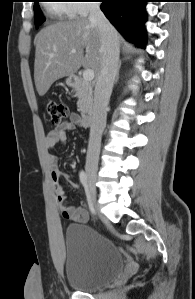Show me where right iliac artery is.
Returning a JSON list of instances; mask_svg holds the SVG:
<instances>
[{
    "label": "right iliac artery",
    "instance_id": "1",
    "mask_svg": "<svg viewBox=\"0 0 195 299\" xmlns=\"http://www.w3.org/2000/svg\"><path fill=\"white\" fill-rule=\"evenodd\" d=\"M79 179L83 186L87 185V175L83 170L79 174Z\"/></svg>",
    "mask_w": 195,
    "mask_h": 299
}]
</instances>
